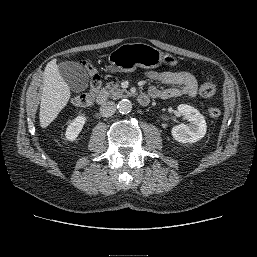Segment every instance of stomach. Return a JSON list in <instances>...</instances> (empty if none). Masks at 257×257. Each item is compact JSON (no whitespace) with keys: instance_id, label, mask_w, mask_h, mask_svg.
<instances>
[{"instance_id":"obj_1","label":"stomach","mask_w":257,"mask_h":257,"mask_svg":"<svg viewBox=\"0 0 257 257\" xmlns=\"http://www.w3.org/2000/svg\"><path fill=\"white\" fill-rule=\"evenodd\" d=\"M173 66L178 64L176 57L164 55L159 49L145 43H127L112 51L108 57L112 72H133L137 67L156 68L163 61Z\"/></svg>"}]
</instances>
